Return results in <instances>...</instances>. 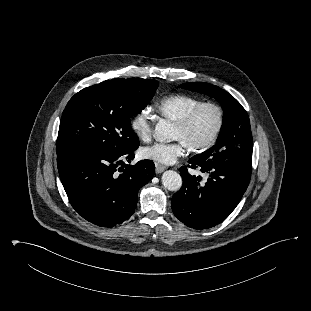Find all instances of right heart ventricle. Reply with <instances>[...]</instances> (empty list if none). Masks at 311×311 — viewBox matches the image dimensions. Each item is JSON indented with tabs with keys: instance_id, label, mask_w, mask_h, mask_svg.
I'll return each instance as SVG.
<instances>
[{
	"instance_id": "e07e8e85",
	"label": "right heart ventricle",
	"mask_w": 311,
	"mask_h": 311,
	"mask_svg": "<svg viewBox=\"0 0 311 311\" xmlns=\"http://www.w3.org/2000/svg\"><path fill=\"white\" fill-rule=\"evenodd\" d=\"M202 103L201 99L193 96L173 94L157 102L156 109L162 117L177 123Z\"/></svg>"
}]
</instances>
